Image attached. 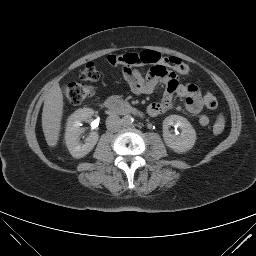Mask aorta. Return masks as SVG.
<instances>
[{"instance_id":"1","label":"aorta","mask_w":256,"mask_h":256,"mask_svg":"<svg viewBox=\"0 0 256 256\" xmlns=\"http://www.w3.org/2000/svg\"><path fill=\"white\" fill-rule=\"evenodd\" d=\"M134 122V118L131 115H126L122 118V125L124 127L131 126Z\"/></svg>"}]
</instances>
